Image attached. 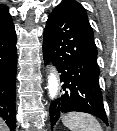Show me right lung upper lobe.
<instances>
[{
	"mask_svg": "<svg viewBox=\"0 0 117 131\" xmlns=\"http://www.w3.org/2000/svg\"><path fill=\"white\" fill-rule=\"evenodd\" d=\"M12 26V17L9 14L8 7L5 5H0V34Z\"/></svg>",
	"mask_w": 117,
	"mask_h": 131,
	"instance_id": "1",
	"label": "right lung upper lobe"
}]
</instances>
